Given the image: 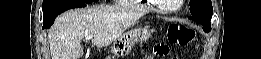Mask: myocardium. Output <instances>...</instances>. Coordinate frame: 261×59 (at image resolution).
<instances>
[{
    "mask_svg": "<svg viewBox=\"0 0 261 59\" xmlns=\"http://www.w3.org/2000/svg\"><path fill=\"white\" fill-rule=\"evenodd\" d=\"M150 3L155 7V9L157 11H159L161 13H174L182 8L184 0H180L179 5L173 9L158 7V5L156 4V1H153V0H151Z\"/></svg>",
    "mask_w": 261,
    "mask_h": 59,
    "instance_id": "f54148a6",
    "label": "myocardium"
}]
</instances>
